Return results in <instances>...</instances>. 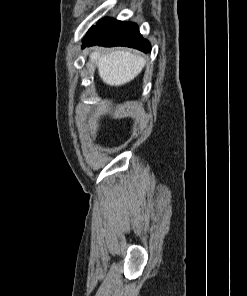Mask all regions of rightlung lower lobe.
Masks as SVG:
<instances>
[{"mask_svg":"<svg viewBox=\"0 0 247 296\" xmlns=\"http://www.w3.org/2000/svg\"><path fill=\"white\" fill-rule=\"evenodd\" d=\"M84 46L101 45L105 47L127 46L144 53L150 52V43L143 39L135 23L117 21L112 18L100 20L93 26L83 41Z\"/></svg>","mask_w":247,"mask_h":296,"instance_id":"right-lung-lower-lobe-1","label":"right lung lower lobe"}]
</instances>
